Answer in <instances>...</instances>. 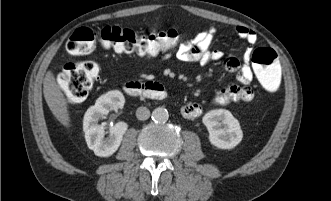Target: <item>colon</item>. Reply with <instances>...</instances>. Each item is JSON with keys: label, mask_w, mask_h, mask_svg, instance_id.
Instances as JSON below:
<instances>
[{"label": "colon", "mask_w": 331, "mask_h": 201, "mask_svg": "<svg viewBox=\"0 0 331 201\" xmlns=\"http://www.w3.org/2000/svg\"><path fill=\"white\" fill-rule=\"evenodd\" d=\"M183 33L168 29L149 34H138L132 29L119 26H104L99 29L82 27L69 38L66 48L72 55L92 52L99 42L104 48L117 52H136L140 55L155 56L167 52L182 41ZM256 77L263 88L275 92L282 80V69L278 55L271 48H258L251 56ZM99 74L93 61L70 62L64 65L58 84L71 102L84 100Z\"/></svg>", "instance_id": "1"}]
</instances>
